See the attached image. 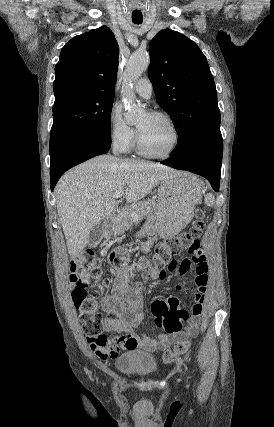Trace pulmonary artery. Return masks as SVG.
Masks as SVG:
<instances>
[{"label": "pulmonary artery", "mask_w": 274, "mask_h": 427, "mask_svg": "<svg viewBox=\"0 0 274 427\" xmlns=\"http://www.w3.org/2000/svg\"><path fill=\"white\" fill-rule=\"evenodd\" d=\"M135 92L144 99H149L152 95V84L147 77L141 78L134 87Z\"/></svg>", "instance_id": "obj_1"}]
</instances>
